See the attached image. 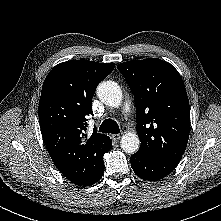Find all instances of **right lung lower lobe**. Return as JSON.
Returning <instances> with one entry per match:
<instances>
[{"label": "right lung lower lobe", "mask_w": 221, "mask_h": 221, "mask_svg": "<svg viewBox=\"0 0 221 221\" xmlns=\"http://www.w3.org/2000/svg\"><path fill=\"white\" fill-rule=\"evenodd\" d=\"M104 168L105 167L103 166L102 169L97 173V175L84 186H90V185L94 184L95 182L99 181L104 173Z\"/></svg>", "instance_id": "right-lung-lower-lobe-1"}]
</instances>
